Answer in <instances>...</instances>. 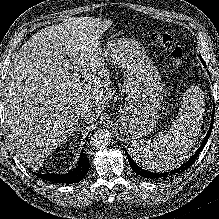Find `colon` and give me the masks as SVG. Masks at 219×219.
<instances>
[{"instance_id": "1", "label": "colon", "mask_w": 219, "mask_h": 219, "mask_svg": "<svg viewBox=\"0 0 219 219\" xmlns=\"http://www.w3.org/2000/svg\"><path fill=\"white\" fill-rule=\"evenodd\" d=\"M149 39L153 44L169 53L170 60L176 68L182 67L185 60V50L172 36L160 33H150Z\"/></svg>"}]
</instances>
